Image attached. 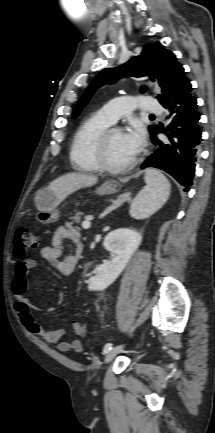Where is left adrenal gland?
Returning <instances> with one entry per match:
<instances>
[{
	"mask_svg": "<svg viewBox=\"0 0 215 433\" xmlns=\"http://www.w3.org/2000/svg\"><path fill=\"white\" fill-rule=\"evenodd\" d=\"M130 193L121 194L113 201L112 205L108 207L101 215L100 218H104L107 214L113 210L119 208L123 203L130 201Z\"/></svg>",
	"mask_w": 215,
	"mask_h": 433,
	"instance_id": "left-adrenal-gland-1",
	"label": "left adrenal gland"
}]
</instances>
